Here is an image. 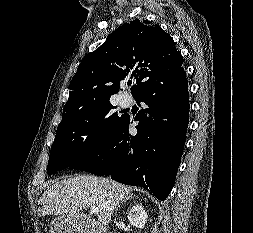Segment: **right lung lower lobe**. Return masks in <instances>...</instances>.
Segmentation results:
<instances>
[{
  "instance_id": "right-lung-lower-lobe-1",
  "label": "right lung lower lobe",
  "mask_w": 253,
  "mask_h": 233,
  "mask_svg": "<svg viewBox=\"0 0 253 233\" xmlns=\"http://www.w3.org/2000/svg\"><path fill=\"white\" fill-rule=\"evenodd\" d=\"M146 106L135 121L137 134L128 132L124 116L108 144L72 168L151 191L159 200L169 195L185 144L189 117L188 82L181 66L148 83L134 96Z\"/></svg>"
}]
</instances>
